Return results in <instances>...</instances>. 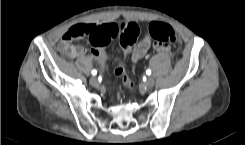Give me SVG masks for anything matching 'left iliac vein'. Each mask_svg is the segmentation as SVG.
Instances as JSON below:
<instances>
[{
	"label": "left iliac vein",
	"instance_id": "1",
	"mask_svg": "<svg viewBox=\"0 0 245 145\" xmlns=\"http://www.w3.org/2000/svg\"><path fill=\"white\" fill-rule=\"evenodd\" d=\"M154 84H155V81H154V79L151 78V77L148 78V79L145 81V83H144V85H145L147 88L153 87Z\"/></svg>",
	"mask_w": 245,
	"mask_h": 145
}]
</instances>
